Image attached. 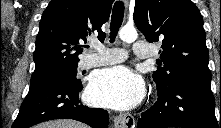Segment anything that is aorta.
<instances>
[{
    "instance_id": "1",
    "label": "aorta",
    "mask_w": 221,
    "mask_h": 128,
    "mask_svg": "<svg viewBox=\"0 0 221 128\" xmlns=\"http://www.w3.org/2000/svg\"><path fill=\"white\" fill-rule=\"evenodd\" d=\"M119 37L122 41L131 43L137 39L138 34L135 28L123 27L119 31Z\"/></svg>"
}]
</instances>
